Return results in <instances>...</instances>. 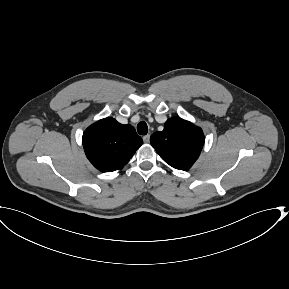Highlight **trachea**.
Segmentation results:
<instances>
[{
  "instance_id": "1",
  "label": "trachea",
  "mask_w": 289,
  "mask_h": 289,
  "mask_svg": "<svg viewBox=\"0 0 289 289\" xmlns=\"http://www.w3.org/2000/svg\"><path fill=\"white\" fill-rule=\"evenodd\" d=\"M137 131L140 135H146L148 133V126L146 122L141 121L137 125Z\"/></svg>"
}]
</instances>
